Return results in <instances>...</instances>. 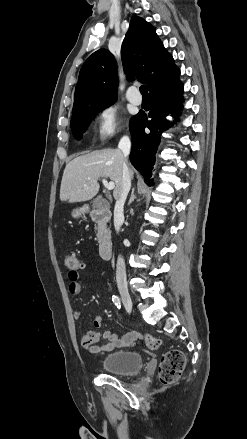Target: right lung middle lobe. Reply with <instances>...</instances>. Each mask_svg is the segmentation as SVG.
I'll list each match as a JSON object with an SVG mask.
<instances>
[{
	"instance_id": "right-lung-middle-lobe-1",
	"label": "right lung middle lobe",
	"mask_w": 247,
	"mask_h": 439,
	"mask_svg": "<svg viewBox=\"0 0 247 439\" xmlns=\"http://www.w3.org/2000/svg\"><path fill=\"white\" fill-rule=\"evenodd\" d=\"M113 103H109L107 105H104V106H101V107H98L95 109L87 110V111H84V112H81L77 115L72 116L71 128H72L74 136L76 138H80L82 136L80 134V132L83 133L86 130L87 126L89 125V123H90L91 119L94 117V115L97 112L104 110L108 106H111Z\"/></svg>"
}]
</instances>
